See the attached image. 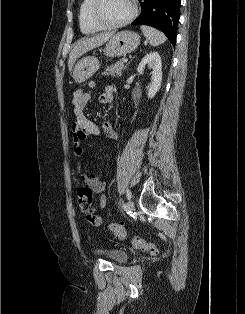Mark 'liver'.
I'll return each instance as SVG.
<instances>
[{
    "instance_id": "6515ba94",
    "label": "liver",
    "mask_w": 245,
    "mask_h": 314,
    "mask_svg": "<svg viewBox=\"0 0 245 314\" xmlns=\"http://www.w3.org/2000/svg\"><path fill=\"white\" fill-rule=\"evenodd\" d=\"M113 34L114 33L112 32L102 33V34H99L90 38H84L77 41L72 51L69 54V59H68L69 71L73 69L74 63L79 57H81L84 53L106 43Z\"/></svg>"
}]
</instances>
